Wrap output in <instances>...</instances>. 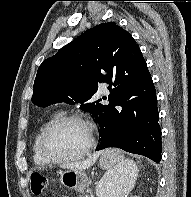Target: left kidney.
<instances>
[{
    "mask_svg": "<svg viewBox=\"0 0 191 197\" xmlns=\"http://www.w3.org/2000/svg\"><path fill=\"white\" fill-rule=\"evenodd\" d=\"M131 197H139V196H131Z\"/></svg>",
    "mask_w": 191,
    "mask_h": 197,
    "instance_id": "1",
    "label": "left kidney"
}]
</instances>
